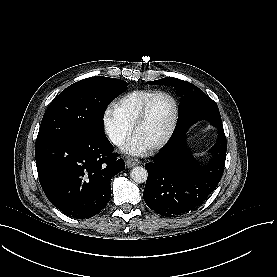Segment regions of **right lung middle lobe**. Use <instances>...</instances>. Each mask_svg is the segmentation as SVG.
<instances>
[{
    "label": "right lung middle lobe",
    "mask_w": 277,
    "mask_h": 277,
    "mask_svg": "<svg viewBox=\"0 0 277 277\" xmlns=\"http://www.w3.org/2000/svg\"><path fill=\"white\" fill-rule=\"evenodd\" d=\"M127 85L124 80L102 76L73 83L50 103L37 139L104 133V111L114 98L125 91Z\"/></svg>",
    "instance_id": "1"
}]
</instances>
